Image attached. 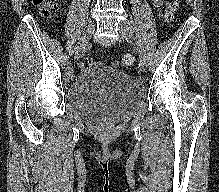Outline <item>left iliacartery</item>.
<instances>
[{
  "mask_svg": "<svg viewBox=\"0 0 219 192\" xmlns=\"http://www.w3.org/2000/svg\"><path fill=\"white\" fill-rule=\"evenodd\" d=\"M126 40H127V42H132V43L134 44V46H135V48H136V50H137V52H138V54H139V57H144L142 51L138 48V44H137L136 39H135L134 37H132V32H131V34L127 37Z\"/></svg>",
  "mask_w": 219,
  "mask_h": 192,
  "instance_id": "left-iliac-artery-1",
  "label": "left iliac artery"
}]
</instances>
